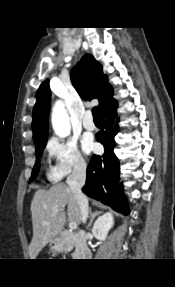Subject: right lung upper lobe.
I'll return each instance as SVG.
<instances>
[{
    "instance_id": "right-lung-upper-lobe-1",
    "label": "right lung upper lobe",
    "mask_w": 175,
    "mask_h": 287,
    "mask_svg": "<svg viewBox=\"0 0 175 287\" xmlns=\"http://www.w3.org/2000/svg\"><path fill=\"white\" fill-rule=\"evenodd\" d=\"M72 82L81 97L91 100L99 99V110L102 113L114 105L113 89L103 74L102 66L92 56L85 55L71 72ZM50 108L49 80H45L37 91L36 104L33 109L34 143L47 140L48 114Z\"/></svg>"
}]
</instances>
